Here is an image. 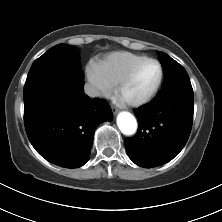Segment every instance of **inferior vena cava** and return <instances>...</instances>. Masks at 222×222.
<instances>
[{
    "label": "inferior vena cava",
    "instance_id": "1",
    "mask_svg": "<svg viewBox=\"0 0 222 222\" xmlns=\"http://www.w3.org/2000/svg\"><path fill=\"white\" fill-rule=\"evenodd\" d=\"M84 91H85V94H87L89 97H97L99 95V91L92 85L90 84H85L84 86Z\"/></svg>",
    "mask_w": 222,
    "mask_h": 222
}]
</instances>
